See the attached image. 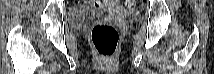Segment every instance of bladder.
<instances>
[{"instance_id": "bladder-1", "label": "bladder", "mask_w": 214, "mask_h": 74, "mask_svg": "<svg viewBox=\"0 0 214 74\" xmlns=\"http://www.w3.org/2000/svg\"><path fill=\"white\" fill-rule=\"evenodd\" d=\"M107 12L99 11V12H92L86 8L83 7H76L73 8L69 13V22L70 24H85L91 20H94L95 18L102 17Z\"/></svg>"}]
</instances>
